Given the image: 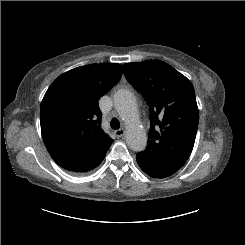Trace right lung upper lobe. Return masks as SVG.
<instances>
[{
	"mask_svg": "<svg viewBox=\"0 0 245 245\" xmlns=\"http://www.w3.org/2000/svg\"><path fill=\"white\" fill-rule=\"evenodd\" d=\"M121 76L117 63L91 64L67 71L48 88L40 107L41 132L64 169L78 173L112 144L101 128L98 101Z\"/></svg>",
	"mask_w": 245,
	"mask_h": 245,
	"instance_id": "cb5924a9",
	"label": "right lung upper lobe"
}]
</instances>
